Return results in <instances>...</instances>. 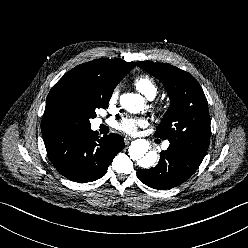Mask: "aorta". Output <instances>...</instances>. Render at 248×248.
Listing matches in <instances>:
<instances>
[{
    "instance_id": "obj_1",
    "label": "aorta",
    "mask_w": 248,
    "mask_h": 248,
    "mask_svg": "<svg viewBox=\"0 0 248 248\" xmlns=\"http://www.w3.org/2000/svg\"><path fill=\"white\" fill-rule=\"evenodd\" d=\"M120 103L130 113H139L144 108V99L139 94L126 93L120 96ZM150 143L146 139H137L131 142L128 152L132 160L142 168H150L157 162V152L149 151Z\"/></svg>"
}]
</instances>
